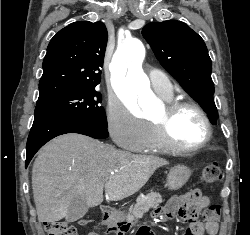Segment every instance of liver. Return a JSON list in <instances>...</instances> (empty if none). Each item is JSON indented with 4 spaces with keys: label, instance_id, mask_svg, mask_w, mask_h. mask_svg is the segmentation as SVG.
<instances>
[{
    "label": "liver",
    "instance_id": "6515ba94",
    "mask_svg": "<svg viewBox=\"0 0 250 235\" xmlns=\"http://www.w3.org/2000/svg\"><path fill=\"white\" fill-rule=\"evenodd\" d=\"M156 156L136 155L88 136L61 135L39 152L32 170V189L38 220L54 223L66 217L76 196L88 207L118 201L139 191L154 174L167 165Z\"/></svg>",
    "mask_w": 250,
    "mask_h": 235
}]
</instances>
